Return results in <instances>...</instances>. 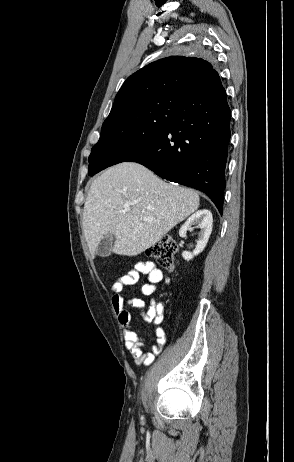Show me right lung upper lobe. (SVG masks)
I'll use <instances>...</instances> for the list:
<instances>
[{
	"label": "right lung upper lobe",
	"mask_w": 294,
	"mask_h": 462,
	"mask_svg": "<svg viewBox=\"0 0 294 462\" xmlns=\"http://www.w3.org/2000/svg\"><path fill=\"white\" fill-rule=\"evenodd\" d=\"M219 79L218 72L206 59L166 57L129 76L117 93L110 113L164 94L179 93L187 97Z\"/></svg>",
	"instance_id": "right-lung-upper-lobe-1"
}]
</instances>
